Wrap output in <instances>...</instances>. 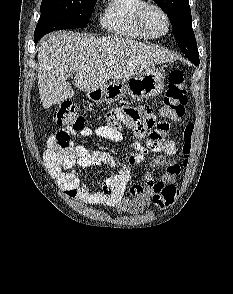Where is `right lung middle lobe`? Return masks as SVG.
<instances>
[{
  "mask_svg": "<svg viewBox=\"0 0 233 294\" xmlns=\"http://www.w3.org/2000/svg\"><path fill=\"white\" fill-rule=\"evenodd\" d=\"M96 0H42L34 39L58 29L85 27Z\"/></svg>",
  "mask_w": 233,
  "mask_h": 294,
  "instance_id": "dd1d6c3e",
  "label": "right lung middle lobe"
}]
</instances>
